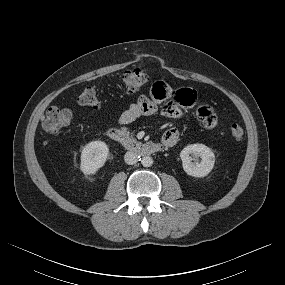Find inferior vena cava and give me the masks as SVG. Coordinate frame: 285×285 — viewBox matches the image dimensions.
I'll list each match as a JSON object with an SVG mask.
<instances>
[{
    "mask_svg": "<svg viewBox=\"0 0 285 285\" xmlns=\"http://www.w3.org/2000/svg\"><path fill=\"white\" fill-rule=\"evenodd\" d=\"M124 160L127 164L133 165L138 161V155L132 151L126 152Z\"/></svg>",
    "mask_w": 285,
    "mask_h": 285,
    "instance_id": "602c4592",
    "label": "inferior vena cava"
}]
</instances>
